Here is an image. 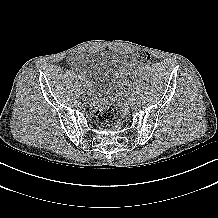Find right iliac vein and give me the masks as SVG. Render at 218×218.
I'll return each mask as SVG.
<instances>
[{
    "label": "right iliac vein",
    "mask_w": 218,
    "mask_h": 218,
    "mask_svg": "<svg viewBox=\"0 0 218 218\" xmlns=\"http://www.w3.org/2000/svg\"><path fill=\"white\" fill-rule=\"evenodd\" d=\"M79 89L83 92L85 90L84 86L83 85H80L79 86Z\"/></svg>",
    "instance_id": "right-iliac-vein-1"
}]
</instances>
